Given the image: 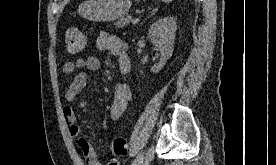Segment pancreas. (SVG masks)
Listing matches in <instances>:
<instances>
[{
	"label": "pancreas",
	"mask_w": 276,
	"mask_h": 165,
	"mask_svg": "<svg viewBox=\"0 0 276 165\" xmlns=\"http://www.w3.org/2000/svg\"><path fill=\"white\" fill-rule=\"evenodd\" d=\"M131 20H132L131 17H127V18L121 19L120 21H118V22L115 23V26L118 27V28H123L127 24H129Z\"/></svg>",
	"instance_id": "pancreas-1"
}]
</instances>
